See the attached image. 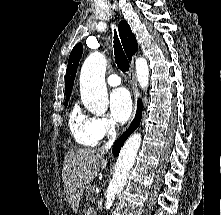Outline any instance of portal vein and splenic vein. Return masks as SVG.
Returning a JSON list of instances; mask_svg holds the SVG:
<instances>
[{
  "label": "portal vein and splenic vein",
  "instance_id": "18ae733b",
  "mask_svg": "<svg viewBox=\"0 0 221 215\" xmlns=\"http://www.w3.org/2000/svg\"><path fill=\"white\" fill-rule=\"evenodd\" d=\"M88 210H89V211H92V210H93V208H91V207H90Z\"/></svg>",
  "mask_w": 221,
  "mask_h": 215
}]
</instances>
